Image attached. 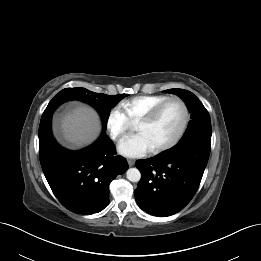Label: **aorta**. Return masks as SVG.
I'll return each instance as SVG.
<instances>
[{"instance_id":"aorta-1","label":"aorta","mask_w":261,"mask_h":261,"mask_svg":"<svg viewBox=\"0 0 261 261\" xmlns=\"http://www.w3.org/2000/svg\"><path fill=\"white\" fill-rule=\"evenodd\" d=\"M127 179L131 182H139L141 173L137 168H129L126 172Z\"/></svg>"}]
</instances>
